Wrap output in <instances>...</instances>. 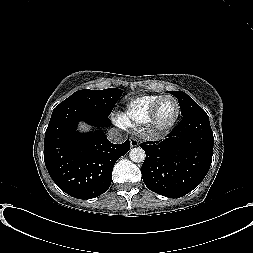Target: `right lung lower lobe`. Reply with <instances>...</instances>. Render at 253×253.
<instances>
[{
  "instance_id": "1",
  "label": "right lung lower lobe",
  "mask_w": 253,
  "mask_h": 253,
  "mask_svg": "<svg viewBox=\"0 0 253 253\" xmlns=\"http://www.w3.org/2000/svg\"><path fill=\"white\" fill-rule=\"evenodd\" d=\"M79 121L108 127V116L83 106H57L45 133L44 161L56 185L79 199H91L108 190L115 162L130 149V142H109L103 131L81 134Z\"/></svg>"
}]
</instances>
